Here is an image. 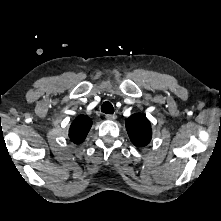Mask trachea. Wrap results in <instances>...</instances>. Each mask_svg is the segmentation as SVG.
Returning <instances> with one entry per match:
<instances>
[{"label":"trachea","mask_w":221,"mask_h":221,"mask_svg":"<svg viewBox=\"0 0 221 221\" xmlns=\"http://www.w3.org/2000/svg\"><path fill=\"white\" fill-rule=\"evenodd\" d=\"M101 111L103 113H106V114H113L114 113V107L110 102L106 101L102 104Z\"/></svg>","instance_id":"3493384b"}]
</instances>
